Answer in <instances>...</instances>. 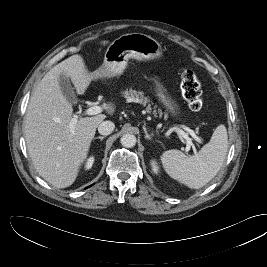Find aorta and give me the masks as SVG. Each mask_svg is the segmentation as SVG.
I'll return each mask as SVG.
<instances>
[{
  "label": "aorta",
  "instance_id": "762f6f07",
  "mask_svg": "<svg viewBox=\"0 0 267 267\" xmlns=\"http://www.w3.org/2000/svg\"><path fill=\"white\" fill-rule=\"evenodd\" d=\"M120 142L122 146L132 148L136 144V137L133 134L127 133L121 137Z\"/></svg>",
  "mask_w": 267,
  "mask_h": 267
}]
</instances>
